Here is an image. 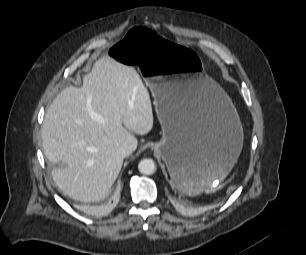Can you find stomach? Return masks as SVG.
Listing matches in <instances>:
<instances>
[{
  "label": "stomach",
  "mask_w": 306,
  "mask_h": 255,
  "mask_svg": "<svg viewBox=\"0 0 306 255\" xmlns=\"http://www.w3.org/2000/svg\"><path fill=\"white\" fill-rule=\"evenodd\" d=\"M110 56L135 65L150 88L162 127L152 146L176 188L194 195L222 181L243 146V129L223 88L204 71L192 49L167 41L157 30L131 25Z\"/></svg>",
  "instance_id": "0dacf381"
}]
</instances>
